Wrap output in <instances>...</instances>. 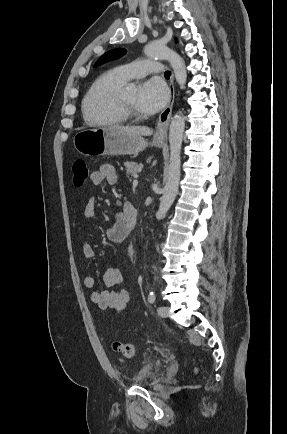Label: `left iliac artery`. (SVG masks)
I'll return each instance as SVG.
<instances>
[{
	"mask_svg": "<svg viewBox=\"0 0 287 434\" xmlns=\"http://www.w3.org/2000/svg\"><path fill=\"white\" fill-rule=\"evenodd\" d=\"M155 300H156L155 293H154L153 291H151V292L149 293V295H148V301H149L150 303H155Z\"/></svg>",
	"mask_w": 287,
	"mask_h": 434,
	"instance_id": "44dca946",
	"label": "left iliac artery"
}]
</instances>
